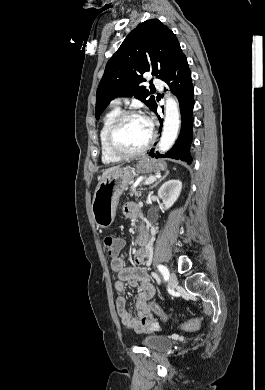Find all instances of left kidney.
<instances>
[{
    "label": "left kidney",
    "instance_id": "left-kidney-1",
    "mask_svg": "<svg viewBox=\"0 0 265 390\" xmlns=\"http://www.w3.org/2000/svg\"><path fill=\"white\" fill-rule=\"evenodd\" d=\"M182 190V182L177 179L168 180L158 190V196L163 200L166 209H169L178 199Z\"/></svg>",
    "mask_w": 265,
    "mask_h": 390
}]
</instances>
